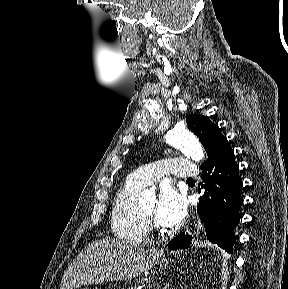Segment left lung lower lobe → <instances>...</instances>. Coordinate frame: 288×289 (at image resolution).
Masks as SVG:
<instances>
[{"label": "left lung lower lobe", "instance_id": "1", "mask_svg": "<svg viewBox=\"0 0 288 289\" xmlns=\"http://www.w3.org/2000/svg\"><path fill=\"white\" fill-rule=\"evenodd\" d=\"M200 168L202 182L199 186L204 193L199 198L198 214L205 223L208 239L232 253L236 242L234 230L240 220L239 210L243 199L239 166L227 139L222 140L210 161ZM191 239V236L181 233L168 243V248H187Z\"/></svg>", "mask_w": 288, "mask_h": 289}]
</instances>
